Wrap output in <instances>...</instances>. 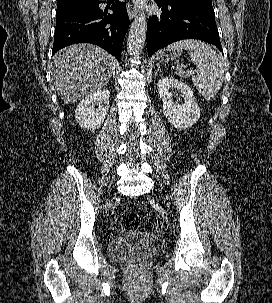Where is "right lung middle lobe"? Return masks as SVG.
Returning <instances> with one entry per match:
<instances>
[{
	"label": "right lung middle lobe",
	"instance_id": "obj_1",
	"mask_svg": "<svg viewBox=\"0 0 272 303\" xmlns=\"http://www.w3.org/2000/svg\"><path fill=\"white\" fill-rule=\"evenodd\" d=\"M95 1L96 0H81V1L57 5L56 15H60V14L66 13L71 10L90 6V5L94 4Z\"/></svg>",
	"mask_w": 272,
	"mask_h": 303
}]
</instances>
